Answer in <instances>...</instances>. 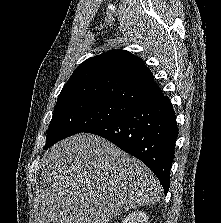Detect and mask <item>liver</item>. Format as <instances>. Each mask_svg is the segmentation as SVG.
<instances>
[{
  "instance_id": "1",
  "label": "liver",
  "mask_w": 221,
  "mask_h": 223,
  "mask_svg": "<svg viewBox=\"0 0 221 223\" xmlns=\"http://www.w3.org/2000/svg\"><path fill=\"white\" fill-rule=\"evenodd\" d=\"M41 170L36 223H108L161 198V185L147 166L92 134L56 143Z\"/></svg>"
}]
</instances>
